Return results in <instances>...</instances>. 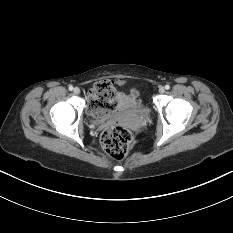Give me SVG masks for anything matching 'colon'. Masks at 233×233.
<instances>
[{
  "label": "colon",
  "mask_w": 233,
  "mask_h": 233,
  "mask_svg": "<svg viewBox=\"0 0 233 233\" xmlns=\"http://www.w3.org/2000/svg\"><path fill=\"white\" fill-rule=\"evenodd\" d=\"M90 111L96 116H104L118 108L117 93L109 81L98 82L92 90ZM101 145L105 152L116 160H122L130 151L131 131L121 125H112L101 134Z\"/></svg>",
  "instance_id": "colon-1"
}]
</instances>
